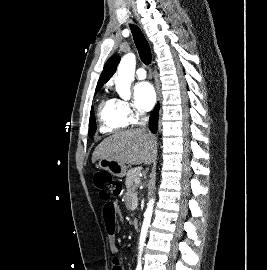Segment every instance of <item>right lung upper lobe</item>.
Returning <instances> with one entry per match:
<instances>
[{"instance_id":"1","label":"right lung upper lobe","mask_w":267,"mask_h":270,"mask_svg":"<svg viewBox=\"0 0 267 270\" xmlns=\"http://www.w3.org/2000/svg\"><path fill=\"white\" fill-rule=\"evenodd\" d=\"M120 62V56L115 55L111 57L105 64L101 76L99 78L96 90H100L101 87L112 77L116 72L117 65Z\"/></svg>"}]
</instances>
